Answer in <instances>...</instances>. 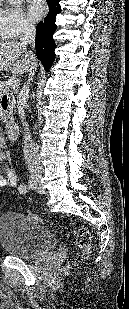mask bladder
I'll use <instances>...</instances> for the list:
<instances>
[{"label":"bladder","mask_w":129,"mask_h":309,"mask_svg":"<svg viewBox=\"0 0 129 309\" xmlns=\"http://www.w3.org/2000/svg\"><path fill=\"white\" fill-rule=\"evenodd\" d=\"M0 245L12 256L35 259L52 251L56 239L28 215L7 212L0 215Z\"/></svg>","instance_id":"31cf9c89"}]
</instances>
